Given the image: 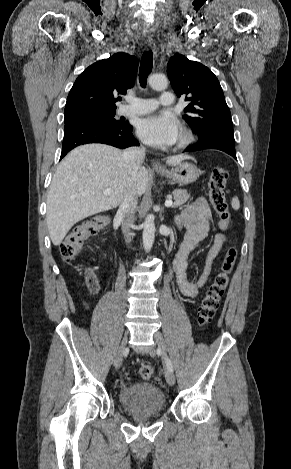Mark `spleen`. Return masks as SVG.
Masks as SVG:
<instances>
[{
  "instance_id": "obj_1",
  "label": "spleen",
  "mask_w": 291,
  "mask_h": 469,
  "mask_svg": "<svg viewBox=\"0 0 291 469\" xmlns=\"http://www.w3.org/2000/svg\"><path fill=\"white\" fill-rule=\"evenodd\" d=\"M232 208L238 210L240 208V202L237 197H234L231 202Z\"/></svg>"
}]
</instances>
